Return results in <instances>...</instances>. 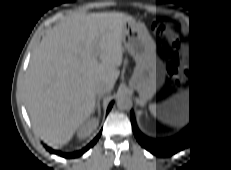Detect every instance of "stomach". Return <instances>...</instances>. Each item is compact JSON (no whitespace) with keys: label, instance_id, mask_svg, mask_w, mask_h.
I'll return each instance as SVG.
<instances>
[{"label":"stomach","instance_id":"obj_1","mask_svg":"<svg viewBox=\"0 0 231 170\" xmlns=\"http://www.w3.org/2000/svg\"><path fill=\"white\" fill-rule=\"evenodd\" d=\"M123 42L127 51L135 58L138 67L136 72V88L144 95L150 86L161 85L166 71L156 56V47L148 35L145 26L132 21L123 29Z\"/></svg>","mask_w":231,"mask_h":170}]
</instances>
